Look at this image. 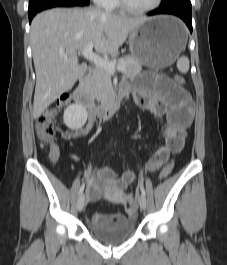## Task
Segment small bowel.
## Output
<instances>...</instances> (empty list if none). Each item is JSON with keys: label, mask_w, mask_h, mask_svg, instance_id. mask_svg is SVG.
Masks as SVG:
<instances>
[{"label": "small bowel", "mask_w": 227, "mask_h": 265, "mask_svg": "<svg viewBox=\"0 0 227 265\" xmlns=\"http://www.w3.org/2000/svg\"><path fill=\"white\" fill-rule=\"evenodd\" d=\"M138 78L130 83H122L120 88L127 94L133 91L135 103L155 116H164V143L149 159L146 169L149 172L158 170L169 158L171 153L179 152L184 143L186 129L190 126L193 117V103L189 93L174 83L169 77L159 72H138ZM93 128V121L75 130H61L63 140L62 148L67 141L85 137ZM60 147L51 146V158L56 160L60 153ZM72 159L77 156L71 154ZM87 192L90 202L98 200L103 190L125 200V190L135 179L132 170H126L121 175L109 168L102 167L96 174L87 172ZM127 217L124 214L103 215L93 214L91 221L97 225H116Z\"/></svg>", "instance_id": "c3829d8e"}]
</instances>
